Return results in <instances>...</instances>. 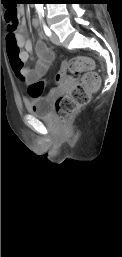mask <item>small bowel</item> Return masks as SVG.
<instances>
[{"label":"small bowel","instance_id":"obj_1","mask_svg":"<svg viewBox=\"0 0 122 257\" xmlns=\"http://www.w3.org/2000/svg\"><path fill=\"white\" fill-rule=\"evenodd\" d=\"M18 13L21 18L20 21L13 30L8 26L6 36L8 64H12L11 73H16L17 78H21L22 82H38V79L43 78L48 73L54 60V52L46 45L43 39H40L35 46L38 56L36 67L35 69L26 67L25 64L31 58L34 46L27 34L24 9L20 7ZM33 26L39 29L40 23L38 19L33 20Z\"/></svg>","mask_w":122,"mask_h":257}]
</instances>
